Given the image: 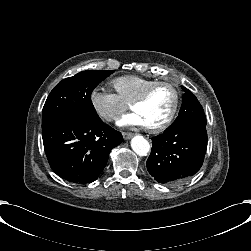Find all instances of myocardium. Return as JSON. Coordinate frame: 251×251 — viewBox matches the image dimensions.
Listing matches in <instances>:
<instances>
[{"mask_svg":"<svg viewBox=\"0 0 251 251\" xmlns=\"http://www.w3.org/2000/svg\"><path fill=\"white\" fill-rule=\"evenodd\" d=\"M161 85H169L173 88L174 92H175V103L174 106L171 110V112L169 113V115L166 117V119L164 121H162L161 123L155 124V125H146V128L149 131L152 132H157V131H162L167 129L171 123L173 122L179 108H180V104H181V90L180 87L171 81H166V80H156L154 81L152 84H150L148 87H146V89L142 92L141 95H139L132 103H131V107L134 108L136 105L138 104H142L145 103L150 96L152 95V93L154 92V90L161 86Z\"/></svg>","mask_w":251,"mask_h":251,"instance_id":"1","label":"myocardium"}]
</instances>
